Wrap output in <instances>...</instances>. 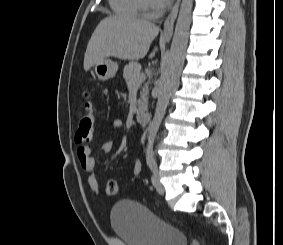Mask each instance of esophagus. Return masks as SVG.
Listing matches in <instances>:
<instances>
[{
	"label": "esophagus",
	"instance_id": "esophagus-1",
	"mask_svg": "<svg viewBox=\"0 0 283 245\" xmlns=\"http://www.w3.org/2000/svg\"><path fill=\"white\" fill-rule=\"evenodd\" d=\"M179 5H180V0H177L170 14L168 15V17L164 22L163 32L161 34V38L163 40L169 41L173 35V26L178 14Z\"/></svg>",
	"mask_w": 283,
	"mask_h": 245
}]
</instances>
